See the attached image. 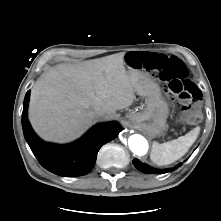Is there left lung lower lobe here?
Returning a JSON list of instances; mask_svg holds the SVG:
<instances>
[{
    "label": "left lung lower lobe",
    "mask_w": 221,
    "mask_h": 221,
    "mask_svg": "<svg viewBox=\"0 0 221 221\" xmlns=\"http://www.w3.org/2000/svg\"><path fill=\"white\" fill-rule=\"evenodd\" d=\"M133 164L138 170H140L141 172L147 173V174L167 173V172L173 171L174 169H177L178 167L181 166V164H179L173 169L157 170V169H154V168H151V167L147 166L146 164L141 163L138 159H134Z\"/></svg>",
    "instance_id": "1"
}]
</instances>
